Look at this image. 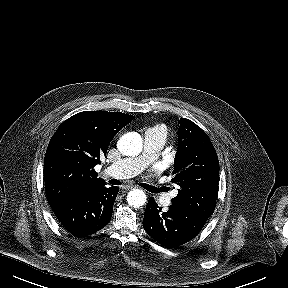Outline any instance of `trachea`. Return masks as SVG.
<instances>
[{"label":"trachea","instance_id":"trachea-1","mask_svg":"<svg viewBox=\"0 0 288 288\" xmlns=\"http://www.w3.org/2000/svg\"><path fill=\"white\" fill-rule=\"evenodd\" d=\"M109 183L112 184V185H120L121 184V182L118 181L117 179H112V180L109 181ZM140 186L145 188L146 190L152 192V193H157L160 190H163V189H156L153 186H150V185H147V184H141Z\"/></svg>","mask_w":288,"mask_h":288}]
</instances>
